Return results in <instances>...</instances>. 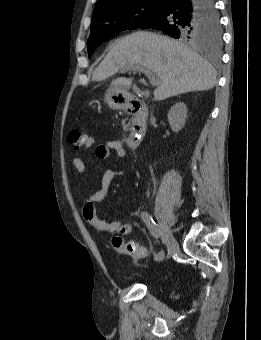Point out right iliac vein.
<instances>
[{
  "mask_svg": "<svg viewBox=\"0 0 261 340\" xmlns=\"http://www.w3.org/2000/svg\"><path fill=\"white\" fill-rule=\"evenodd\" d=\"M172 240L170 228L166 223L161 224V241L163 244H168Z\"/></svg>",
  "mask_w": 261,
  "mask_h": 340,
  "instance_id": "1",
  "label": "right iliac vein"
}]
</instances>
